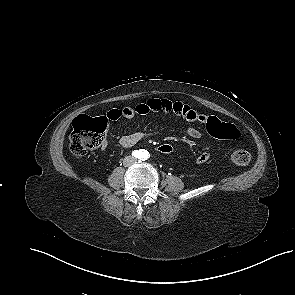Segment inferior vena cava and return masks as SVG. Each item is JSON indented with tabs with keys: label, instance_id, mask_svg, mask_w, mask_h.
Segmentation results:
<instances>
[{
	"label": "inferior vena cava",
	"instance_id": "inferior-vena-cava-1",
	"mask_svg": "<svg viewBox=\"0 0 295 295\" xmlns=\"http://www.w3.org/2000/svg\"><path fill=\"white\" fill-rule=\"evenodd\" d=\"M134 161H136L135 158H133V157H131V156H128V157H126V158L124 159V165H125V166H129V165H130V162H134Z\"/></svg>",
	"mask_w": 295,
	"mask_h": 295
}]
</instances>
